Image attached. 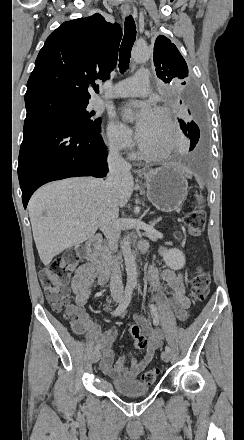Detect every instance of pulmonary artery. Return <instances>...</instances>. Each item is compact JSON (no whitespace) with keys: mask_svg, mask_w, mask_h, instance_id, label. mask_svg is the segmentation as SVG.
<instances>
[{"mask_svg":"<svg viewBox=\"0 0 244 440\" xmlns=\"http://www.w3.org/2000/svg\"><path fill=\"white\" fill-rule=\"evenodd\" d=\"M148 71L147 69H138L137 75H127L126 82L123 85L114 83L112 85V93L108 97L119 98V97H129V96H142L146 93L141 91H147L148 85ZM122 88V89H121Z\"/></svg>","mask_w":244,"mask_h":440,"instance_id":"e3ab8cb5","label":"pulmonary artery"}]
</instances>
